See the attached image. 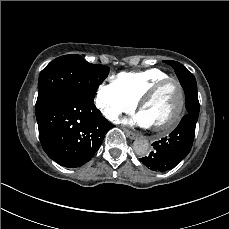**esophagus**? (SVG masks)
<instances>
[{
    "instance_id": "esophagus-1",
    "label": "esophagus",
    "mask_w": 229,
    "mask_h": 229,
    "mask_svg": "<svg viewBox=\"0 0 229 229\" xmlns=\"http://www.w3.org/2000/svg\"><path fill=\"white\" fill-rule=\"evenodd\" d=\"M124 132L132 140L137 138V135L130 130L124 129Z\"/></svg>"
}]
</instances>
